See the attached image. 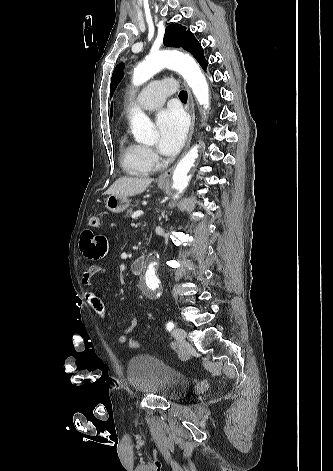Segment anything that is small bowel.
<instances>
[{"label": "small bowel", "instance_id": "1", "mask_svg": "<svg viewBox=\"0 0 333 471\" xmlns=\"http://www.w3.org/2000/svg\"><path fill=\"white\" fill-rule=\"evenodd\" d=\"M80 248L83 255L92 261L85 270L82 283L86 287H91L97 277L103 275L106 270L95 261L100 259L107 250V241L103 236L95 235L91 230H85L81 236ZM86 299L90 307L94 310L98 318L102 321L107 318V311L103 301L92 291L86 292ZM139 326V319L133 317L125 327L122 334L117 338L120 344H127L128 335Z\"/></svg>", "mask_w": 333, "mask_h": 471}]
</instances>
